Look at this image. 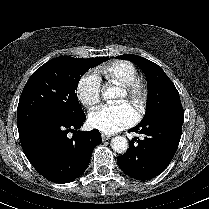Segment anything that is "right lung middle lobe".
Instances as JSON below:
<instances>
[{"mask_svg": "<svg viewBox=\"0 0 209 209\" xmlns=\"http://www.w3.org/2000/svg\"><path fill=\"white\" fill-rule=\"evenodd\" d=\"M108 57L78 59L56 57L38 68L28 79L19 99L17 127L49 118H67L83 113L77 94L80 77Z\"/></svg>", "mask_w": 209, "mask_h": 209, "instance_id": "right-lung-middle-lobe-1", "label": "right lung middle lobe"}]
</instances>
